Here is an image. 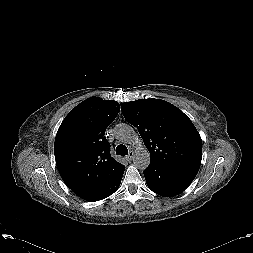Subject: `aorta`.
I'll list each match as a JSON object with an SVG mask.
<instances>
[{
	"label": "aorta",
	"mask_w": 253,
	"mask_h": 253,
	"mask_svg": "<svg viewBox=\"0 0 253 253\" xmlns=\"http://www.w3.org/2000/svg\"><path fill=\"white\" fill-rule=\"evenodd\" d=\"M115 137L117 140L136 148L133 156V163L136 168L144 170L149 166L150 154L142 145V139L131 125L125 123L118 124L115 127Z\"/></svg>",
	"instance_id": "obj_1"
}]
</instances>
